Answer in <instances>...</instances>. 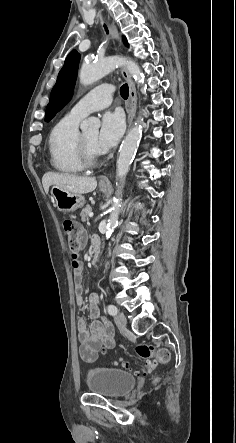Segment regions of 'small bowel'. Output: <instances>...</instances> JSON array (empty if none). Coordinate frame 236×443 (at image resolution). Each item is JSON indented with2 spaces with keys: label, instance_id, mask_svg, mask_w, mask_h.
Returning a JSON list of instances; mask_svg holds the SVG:
<instances>
[{
  "label": "small bowel",
  "instance_id": "obj_1",
  "mask_svg": "<svg viewBox=\"0 0 236 443\" xmlns=\"http://www.w3.org/2000/svg\"><path fill=\"white\" fill-rule=\"evenodd\" d=\"M81 241H85V236H82ZM94 248L99 245L97 239H93ZM81 265L80 276L77 277L74 273V283H75V298L76 303L79 307L85 305L83 298V286H82V272L83 265L79 259ZM88 313L94 322L90 329L87 327L86 320L84 318H79L77 320V332H78V342L80 344V354L86 361H93L96 358L97 351L101 348L111 349L115 345L113 330L111 325L107 321H99L100 309H99V298L96 293H92L89 298L87 305ZM88 353L92 356V359H87L84 354Z\"/></svg>",
  "mask_w": 236,
  "mask_h": 443
}]
</instances>
